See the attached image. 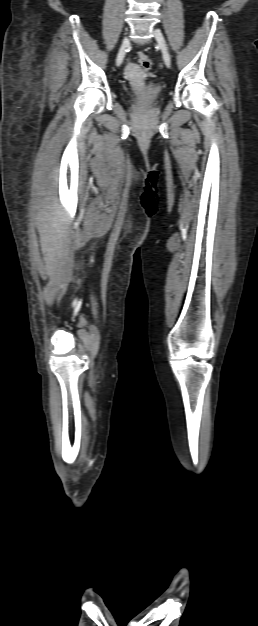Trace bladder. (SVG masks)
I'll return each instance as SVG.
<instances>
[{"instance_id": "obj_1", "label": "bladder", "mask_w": 258, "mask_h": 626, "mask_svg": "<svg viewBox=\"0 0 258 626\" xmlns=\"http://www.w3.org/2000/svg\"><path fill=\"white\" fill-rule=\"evenodd\" d=\"M161 93V86L158 83L151 81L136 94L132 95V100L137 105H150L160 97Z\"/></svg>"}]
</instances>
